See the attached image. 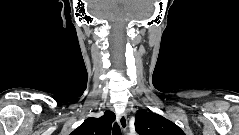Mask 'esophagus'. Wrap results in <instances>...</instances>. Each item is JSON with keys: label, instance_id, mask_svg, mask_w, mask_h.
<instances>
[{"label": "esophagus", "instance_id": "34e87169", "mask_svg": "<svg viewBox=\"0 0 239 135\" xmlns=\"http://www.w3.org/2000/svg\"><path fill=\"white\" fill-rule=\"evenodd\" d=\"M118 122H119V125H120L121 129L123 131H126L127 127H128V122H127V117H126L125 114L119 115Z\"/></svg>", "mask_w": 239, "mask_h": 135}]
</instances>
